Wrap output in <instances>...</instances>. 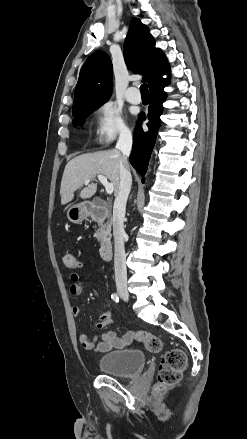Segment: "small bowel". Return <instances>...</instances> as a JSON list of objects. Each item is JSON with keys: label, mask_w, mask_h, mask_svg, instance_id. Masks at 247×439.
<instances>
[{"label": "small bowel", "mask_w": 247, "mask_h": 439, "mask_svg": "<svg viewBox=\"0 0 247 439\" xmlns=\"http://www.w3.org/2000/svg\"><path fill=\"white\" fill-rule=\"evenodd\" d=\"M71 285L70 293L74 296L82 294L84 289V281L81 279L78 273H71L70 275ZM72 313L75 317L79 316L80 309L77 306L72 308ZM111 313L106 311L101 314L96 321V326L98 328H103L110 326L112 324ZM134 333L129 332L123 337L117 336L113 331H106L101 335V340L98 341V336H89L86 333H81L79 335V341L81 345L86 350H94L98 353H106L116 348H123L124 346L130 344L134 339Z\"/></svg>", "instance_id": "obj_1"}]
</instances>
